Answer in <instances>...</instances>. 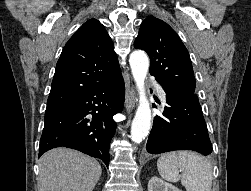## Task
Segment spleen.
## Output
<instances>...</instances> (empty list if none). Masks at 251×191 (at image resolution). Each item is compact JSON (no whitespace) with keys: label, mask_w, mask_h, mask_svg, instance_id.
<instances>
[{"label":"spleen","mask_w":251,"mask_h":191,"mask_svg":"<svg viewBox=\"0 0 251 191\" xmlns=\"http://www.w3.org/2000/svg\"><path fill=\"white\" fill-rule=\"evenodd\" d=\"M158 171L167 181L181 179L186 191H211L212 167L204 157L196 151H168L157 161ZM178 167L183 169L179 173Z\"/></svg>","instance_id":"spleen-1"}]
</instances>
